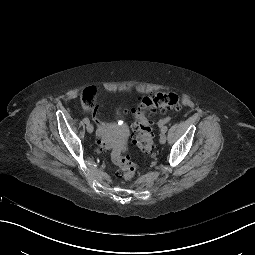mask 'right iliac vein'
I'll return each mask as SVG.
<instances>
[{
	"mask_svg": "<svg viewBox=\"0 0 255 255\" xmlns=\"http://www.w3.org/2000/svg\"><path fill=\"white\" fill-rule=\"evenodd\" d=\"M87 131L89 132V133H92L93 132V130H94V127H93V125L92 124H87Z\"/></svg>",
	"mask_w": 255,
	"mask_h": 255,
	"instance_id": "obj_1",
	"label": "right iliac vein"
}]
</instances>
